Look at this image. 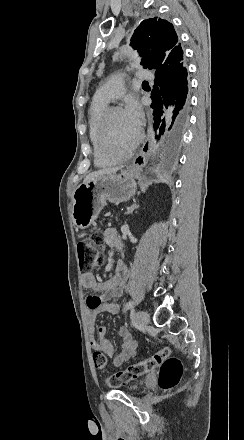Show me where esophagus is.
<instances>
[{
  "instance_id": "1",
  "label": "esophagus",
  "mask_w": 244,
  "mask_h": 440,
  "mask_svg": "<svg viewBox=\"0 0 244 440\" xmlns=\"http://www.w3.org/2000/svg\"><path fill=\"white\" fill-rule=\"evenodd\" d=\"M151 123H152V119L150 118L147 138H146L145 142L143 143V146H142L140 152L138 153V155L134 158L132 163L128 166L129 169H142L148 161V158H149V155H150V152L152 149Z\"/></svg>"
}]
</instances>
